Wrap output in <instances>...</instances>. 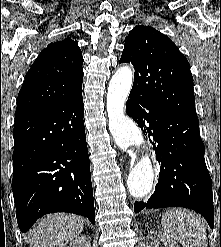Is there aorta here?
I'll return each instance as SVG.
<instances>
[{
    "mask_svg": "<svg viewBox=\"0 0 221 247\" xmlns=\"http://www.w3.org/2000/svg\"><path fill=\"white\" fill-rule=\"evenodd\" d=\"M131 87V69L119 68L109 83L106 107L109 129L117 146L125 151L134 147L141 152L140 159L129 173L127 186L133 197L143 198L152 189L154 170L149 155L144 154L145 141L140 129L124 114L125 102Z\"/></svg>",
    "mask_w": 221,
    "mask_h": 247,
    "instance_id": "aorta-1",
    "label": "aorta"
}]
</instances>
